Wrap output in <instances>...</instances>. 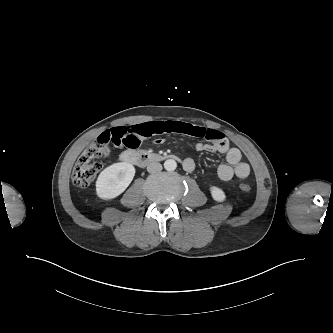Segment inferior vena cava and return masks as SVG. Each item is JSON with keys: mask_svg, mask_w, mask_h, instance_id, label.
I'll list each match as a JSON object with an SVG mask.
<instances>
[{"mask_svg": "<svg viewBox=\"0 0 333 333\" xmlns=\"http://www.w3.org/2000/svg\"><path fill=\"white\" fill-rule=\"evenodd\" d=\"M161 170H162V165L158 162L150 163L147 166V171L149 173H157V172H160Z\"/></svg>", "mask_w": 333, "mask_h": 333, "instance_id": "602c4592", "label": "inferior vena cava"}]
</instances>
